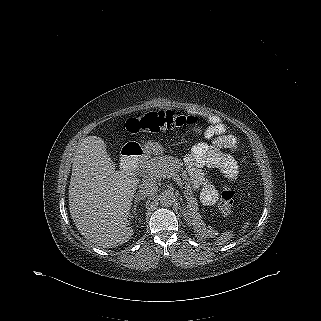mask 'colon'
Returning <instances> with one entry per match:
<instances>
[{
	"label": "colon",
	"instance_id": "obj_1",
	"mask_svg": "<svg viewBox=\"0 0 321 321\" xmlns=\"http://www.w3.org/2000/svg\"><path fill=\"white\" fill-rule=\"evenodd\" d=\"M199 119L192 115H184L173 111H157L148 113L142 117L131 118L126 123L130 133L150 132L156 133L165 129H172L183 125H195ZM235 190L225 187L220 197V210L224 216L232 214L234 209Z\"/></svg>",
	"mask_w": 321,
	"mask_h": 321
}]
</instances>
